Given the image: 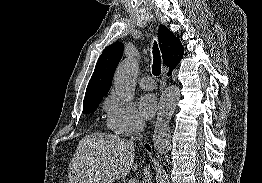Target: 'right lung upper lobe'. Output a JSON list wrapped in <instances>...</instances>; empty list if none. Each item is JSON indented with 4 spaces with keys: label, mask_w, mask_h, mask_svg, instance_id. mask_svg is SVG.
I'll list each match as a JSON object with an SVG mask.
<instances>
[{
    "label": "right lung upper lobe",
    "mask_w": 262,
    "mask_h": 183,
    "mask_svg": "<svg viewBox=\"0 0 262 183\" xmlns=\"http://www.w3.org/2000/svg\"><path fill=\"white\" fill-rule=\"evenodd\" d=\"M158 39L163 61L170 70H173L183 57L184 48L180 40L164 25L159 27ZM123 48V43L115 42L104 49L88 83L84 101L100 99L107 94L115 69L121 60Z\"/></svg>",
    "instance_id": "obj_1"
}]
</instances>
